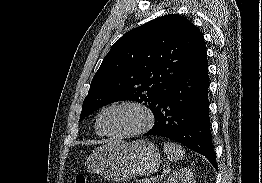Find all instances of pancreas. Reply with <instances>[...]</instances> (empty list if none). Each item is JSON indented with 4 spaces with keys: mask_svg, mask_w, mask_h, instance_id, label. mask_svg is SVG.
<instances>
[{
    "mask_svg": "<svg viewBox=\"0 0 262 183\" xmlns=\"http://www.w3.org/2000/svg\"><path fill=\"white\" fill-rule=\"evenodd\" d=\"M156 181H152L151 179L149 180H142L140 183H155Z\"/></svg>",
    "mask_w": 262,
    "mask_h": 183,
    "instance_id": "cf45deb5",
    "label": "pancreas"
}]
</instances>
